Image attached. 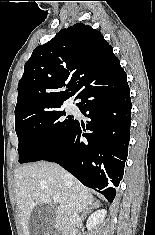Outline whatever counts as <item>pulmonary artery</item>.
Segmentation results:
<instances>
[{
  "label": "pulmonary artery",
  "instance_id": "pulmonary-artery-1",
  "mask_svg": "<svg viewBox=\"0 0 155 235\" xmlns=\"http://www.w3.org/2000/svg\"><path fill=\"white\" fill-rule=\"evenodd\" d=\"M76 109H77V107L73 104V105L71 106V110H72V111H76Z\"/></svg>",
  "mask_w": 155,
  "mask_h": 235
}]
</instances>
